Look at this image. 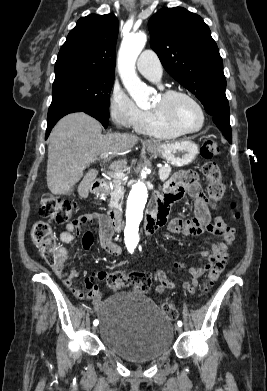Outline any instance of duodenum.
I'll use <instances>...</instances> for the list:
<instances>
[{
  "label": "duodenum",
  "mask_w": 267,
  "mask_h": 391,
  "mask_svg": "<svg viewBox=\"0 0 267 391\" xmlns=\"http://www.w3.org/2000/svg\"><path fill=\"white\" fill-rule=\"evenodd\" d=\"M107 183L105 179L99 178L95 180L91 186V192L94 195H101L105 192ZM164 220L162 215L155 209L151 211L146 217L144 223V229L147 234H153L160 226H162ZM108 225L112 232H119L121 230V210L118 208L112 209L108 213Z\"/></svg>",
  "instance_id": "1"
}]
</instances>
